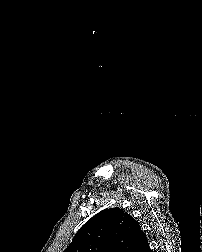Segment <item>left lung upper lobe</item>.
<instances>
[{
  "label": "left lung upper lobe",
  "instance_id": "obj_1",
  "mask_svg": "<svg viewBox=\"0 0 202 252\" xmlns=\"http://www.w3.org/2000/svg\"><path fill=\"white\" fill-rule=\"evenodd\" d=\"M140 229L122 209H105L78 230L64 252H134Z\"/></svg>",
  "mask_w": 202,
  "mask_h": 252
}]
</instances>
